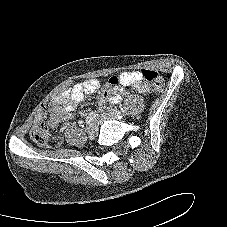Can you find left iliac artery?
I'll use <instances>...</instances> for the list:
<instances>
[{
	"mask_svg": "<svg viewBox=\"0 0 227 227\" xmlns=\"http://www.w3.org/2000/svg\"><path fill=\"white\" fill-rule=\"evenodd\" d=\"M110 111H111V113H113L115 115H120V114L126 115L127 114L126 108H121V111L117 110V109H111Z\"/></svg>",
	"mask_w": 227,
	"mask_h": 227,
	"instance_id": "1",
	"label": "left iliac artery"
}]
</instances>
